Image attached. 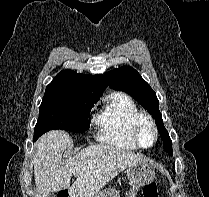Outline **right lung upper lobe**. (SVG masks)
Listing matches in <instances>:
<instances>
[{"label": "right lung upper lobe", "instance_id": "right-lung-upper-lobe-1", "mask_svg": "<svg viewBox=\"0 0 209 197\" xmlns=\"http://www.w3.org/2000/svg\"><path fill=\"white\" fill-rule=\"evenodd\" d=\"M48 86H69L84 89L94 97L100 98L107 84L102 75L77 74L72 70L61 71Z\"/></svg>", "mask_w": 209, "mask_h": 197}]
</instances>
